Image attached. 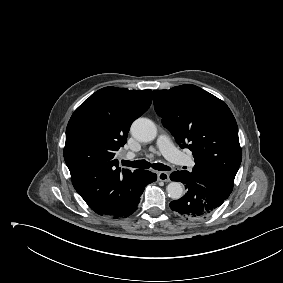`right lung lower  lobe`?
I'll list each match as a JSON object with an SVG mask.
<instances>
[{"label": "right lung lower lobe", "mask_w": 283, "mask_h": 283, "mask_svg": "<svg viewBox=\"0 0 283 283\" xmlns=\"http://www.w3.org/2000/svg\"><path fill=\"white\" fill-rule=\"evenodd\" d=\"M157 176L155 173H152L150 171L147 170H140L139 174H138V190L136 192V194H134L131 199H129L126 203H124L120 208H118L117 210L109 213V214H105V215H109V216H114V217H128L129 215H131L134 211H136L137 207H138V203L140 202V196L144 190V187L152 182V181H156Z\"/></svg>", "instance_id": "obj_1"}]
</instances>
